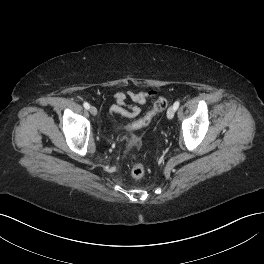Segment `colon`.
Wrapping results in <instances>:
<instances>
[{
  "mask_svg": "<svg viewBox=\"0 0 264 264\" xmlns=\"http://www.w3.org/2000/svg\"><path fill=\"white\" fill-rule=\"evenodd\" d=\"M167 106V100L163 97H158L153 103L151 108L145 113L143 117L134 121L129 125L131 129H139L148 125L152 119ZM145 174V166L142 163H137L131 168V176L135 179L142 178Z\"/></svg>",
  "mask_w": 264,
  "mask_h": 264,
  "instance_id": "colon-1",
  "label": "colon"
}]
</instances>
